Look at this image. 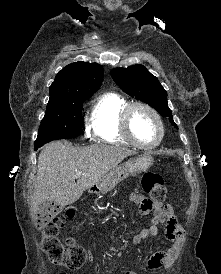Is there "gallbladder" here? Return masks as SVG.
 Returning <instances> with one entry per match:
<instances>
[{
    "instance_id": "obj_1",
    "label": "gallbladder",
    "mask_w": 221,
    "mask_h": 274,
    "mask_svg": "<svg viewBox=\"0 0 221 274\" xmlns=\"http://www.w3.org/2000/svg\"><path fill=\"white\" fill-rule=\"evenodd\" d=\"M64 206L52 202H44L38 209L37 219L49 221L63 211Z\"/></svg>"
}]
</instances>
